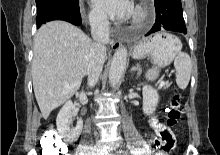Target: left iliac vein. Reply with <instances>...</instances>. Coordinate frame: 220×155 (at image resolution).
<instances>
[{
	"label": "left iliac vein",
	"mask_w": 220,
	"mask_h": 155,
	"mask_svg": "<svg viewBox=\"0 0 220 155\" xmlns=\"http://www.w3.org/2000/svg\"><path fill=\"white\" fill-rule=\"evenodd\" d=\"M102 155H112V154H109V153H104V154H102Z\"/></svg>",
	"instance_id": "obj_1"
}]
</instances>
